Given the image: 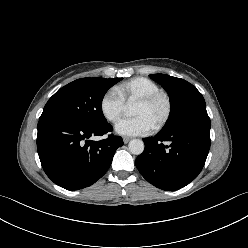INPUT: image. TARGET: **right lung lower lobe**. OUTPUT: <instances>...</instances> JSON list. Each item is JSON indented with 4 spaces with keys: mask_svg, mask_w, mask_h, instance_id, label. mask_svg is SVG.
Listing matches in <instances>:
<instances>
[{
    "mask_svg": "<svg viewBox=\"0 0 248 248\" xmlns=\"http://www.w3.org/2000/svg\"><path fill=\"white\" fill-rule=\"evenodd\" d=\"M37 150L47 176L67 190H78L100 179L112 163L120 136L92 141L113 130L109 123L87 125L64 117L39 120Z\"/></svg>",
    "mask_w": 248,
    "mask_h": 248,
    "instance_id": "right-lung-lower-lobe-1",
    "label": "right lung lower lobe"
}]
</instances>
